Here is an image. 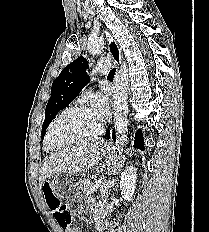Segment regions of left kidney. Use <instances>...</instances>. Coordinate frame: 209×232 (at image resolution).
Returning a JSON list of instances; mask_svg holds the SVG:
<instances>
[{
    "mask_svg": "<svg viewBox=\"0 0 209 232\" xmlns=\"http://www.w3.org/2000/svg\"><path fill=\"white\" fill-rule=\"evenodd\" d=\"M136 171L137 169L133 166L127 167L121 175L120 189L121 195L127 201H131L136 188Z\"/></svg>",
    "mask_w": 209,
    "mask_h": 232,
    "instance_id": "obj_1",
    "label": "left kidney"
}]
</instances>
